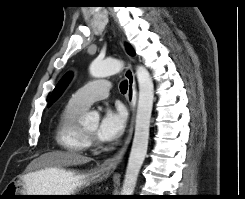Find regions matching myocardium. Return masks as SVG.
<instances>
[{
  "label": "myocardium",
  "mask_w": 245,
  "mask_h": 199,
  "mask_svg": "<svg viewBox=\"0 0 245 199\" xmlns=\"http://www.w3.org/2000/svg\"><path fill=\"white\" fill-rule=\"evenodd\" d=\"M82 132L90 145L97 144V139L94 135L88 133L84 128H82Z\"/></svg>",
  "instance_id": "myocardium-1"
}]
</instances>
